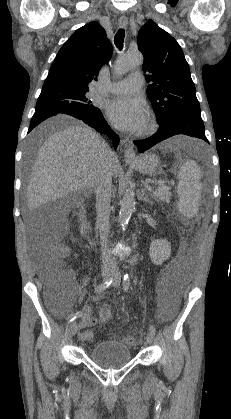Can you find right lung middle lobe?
<instances>
[{"mask_svg": "<svg viewBox=\"0 0 231 419\" xmlns=\"http://www.w3.org/2000/svg\"><path fill=\"white\" fill-rule=\"evenodd\" d=\"M88 91L89 89L66 85L43 86L36 103V111L48 110L71 116H91L100 110L87 98Z\"/></svg>", "mask_w": 231, "mask_h": 419, "instance_id": "obj_1", "label": "right lung middle lobe"}]
</instances>
